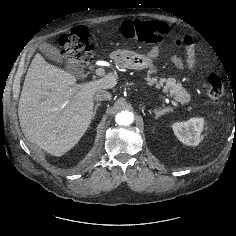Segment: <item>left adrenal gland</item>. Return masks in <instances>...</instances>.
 Returning a JSON list of instances; mask_svg holds the SVG:
<instances>
[{
	"label": "left adrenal gland",
	"instance_id": "a2214340",
	"mask_svg": "<svg viewBox=\"0 0 236 236\" xmlns=\"http://www.w3.org/2000/svg\"><path fill=\"white\" fill-rule=\"evenodd\" d=\"M170 111H172V109L171 108H169V107H164L163 109H161V110H157V109H154L153 110V112L155 113V115H156V119H158L161 115H163V114H165L166 112H170Z\"/></svg>",
	"mask_w": 236,
	"mask_h": 236
}]
</instances>
